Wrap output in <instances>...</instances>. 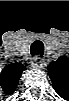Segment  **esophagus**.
Returning <instances> with one entry per match:
<instances>
[{
    "label": "esophagus",
    "instance_id": "obj_1",
    "mask_svg": "<svg viewBox=\"0 0 69 101\" xmlns=\"http://www.w3.org/2000/svg\"><path fill=\"white\" fill-rule=\"evenodd\" d=\"M32 67L35 69H43L45 67V62L40 57H36L32 62Z\"/></svg>",
    "mask_w": 69,
    "mask_h": 101
}]
</instances>
